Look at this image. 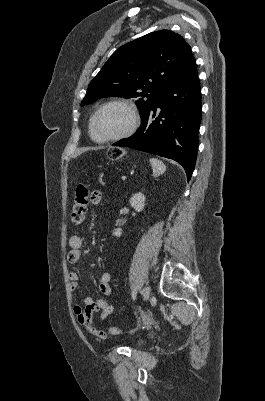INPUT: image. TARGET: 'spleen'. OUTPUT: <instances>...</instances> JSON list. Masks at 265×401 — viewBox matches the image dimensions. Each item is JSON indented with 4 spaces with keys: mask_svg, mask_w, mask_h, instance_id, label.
<instances>
[{
    "mask_svg": "<svg viewBox=\"0 0 265 401\" xmlns=\"http://www.w3.org/2000/svg\"><path fill=\"white\" fill-rule=\"evenodd\" d=\"M150 164L153 168V176H159V174H164L166 166L162 160L158 158H150Z\"/></svg>",
    "mask_w": 265,
    "mask_h": 401,
    "instance_id": "3e777b00",
    "label": "spleen"
}]
</instances>
